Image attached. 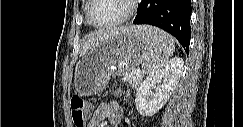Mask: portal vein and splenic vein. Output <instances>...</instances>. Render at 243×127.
I'll return each mask as SVG.
<instances>
[{"label": "portal vein and splenic vein", "instance_id": "obj_1", "mask_svg": "<svg viewBox=\"0 0 243 127\" xmlns=\"http://www.w3.org/2000/svg\"><path fill=\"white\" fill-rule=\"evenodd\" d=\"M133 73L136 75V76H141V72L139 70H134Z\"/></svg>", "mask_w": 243, "mask_h": 127}]
</instances>
